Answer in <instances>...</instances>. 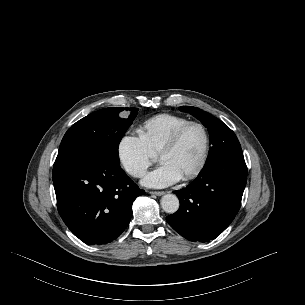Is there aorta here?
<instances>
[{"label":"aorta","mask_w":305,"mask_h":305,"mask_svg":"<svg viewBox=\"0 0 305 305\" xmlns=\"http://www.w3.org/2000/svg\"><path fill=\"white\" fill-rule=\"evenodd\" d=\"M161 207L166 213L173 214L179 208V200L174 194H166L161 198Z\"/></svg>","instance_id":"1"}]
</instances>
